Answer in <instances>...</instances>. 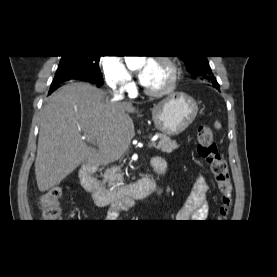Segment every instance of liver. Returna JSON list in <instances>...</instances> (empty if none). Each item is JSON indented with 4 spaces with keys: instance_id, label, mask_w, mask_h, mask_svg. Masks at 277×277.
Listing matches in <instances>:
<instances>
[{
    "instance_id": "6515ba94",
    "label": "liver",
    "mask_w": 277,
    "mask_h": 277,
    "mask_svg": "<svg viewBox=\"0 0 277 277\" xmlns=\"http://www.w3.org/2000/svg\"><path fill=\"white\" fill-rule=\"evenodd\" d=\"M131 102L109 100L106 93L84 82L62 86L47 100L40 116L35 175L47 191L80 164L107 165L118 160L135 135ZM94 141L92 148L83 140Z\"/></svg>"
}]
</instances>
